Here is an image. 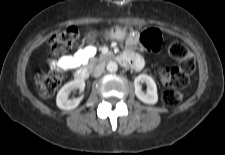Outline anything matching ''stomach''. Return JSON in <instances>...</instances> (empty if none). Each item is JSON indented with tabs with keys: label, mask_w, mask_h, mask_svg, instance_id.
I'll use <instances>...</instances> for the list:
<instances>
[{
	"label": "stomach",
	"mask_w": 225,
	"mask_h": 155,
	"mask_svg": "<svg viewBox=\"0 0 225 155\" xmlns=\"http://www.w3.org/2000/svg\"><path fill=\"white\" fill-rule=\"evenodd\" d=\"M108 35L112 39L123 40L126 36V32L122 28L116 26L109 30Z\"/></svg>",
	"instance_id": "0dacf381"
}]
</instances>
